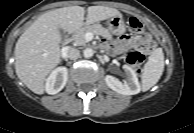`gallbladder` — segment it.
Segmentation results:
<instances>
[{
	"mask_svg": "<svg viewBox=\"0 0 194 133\" xmlns=\"http://www.w3.org/2000/svg\"><path fill=\"white\" fill-rule=\"evenodd\" d=\"M59 32H60L61 38H63L65 36V31L62 29H59Z\"/></svg>",
	"mask_w": 194,
	"mask_h": 133,
	"instance_id": "gallbladder-1",
	"label": "gallbladder"
}]
</instances>
